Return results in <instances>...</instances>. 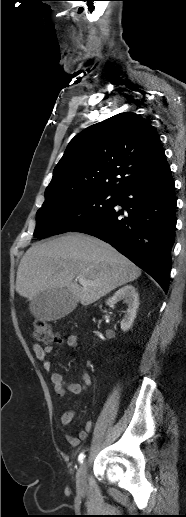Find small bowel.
I'll return each instance as SVG.
<instances>
[{"label": "small bowel", "instance_id": "c3829d8e", "mask_svg": "<svg viewBox=\"0 0 186 517\" xmlns=\"http://www.w3.org/2000/svg\"><path fill=\"white\" fill-rule=\"evenodd\" d=\"M66 344L69 347H77L79 345V337L75 334H71L66 338ZM32 350L35 357L42 363L43 368L46 371L51 369V364L47 359V354L51 352L52 347L46 346L43 347L38 343H34L32 345ZM51 382L54 386L55 392L59 396H66L68 393L71 394H81L84 392L92 383L90 374L84 370L82 373V382L81 383H66L60 373L53 372L50 376ZM75 409H69L65 411L61 416V424L63 427H67L75 416ZM94 427V423L92 421H88L85 424V428L79 432L78 436H73L70 434H66V440L71 446H78L81 441H84L88 438L89 433L92 431Z\"/></svg>", "mask_w": 186, "mask_h": 517}]
</instances>
